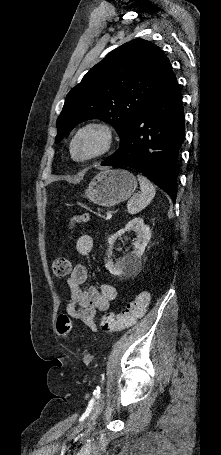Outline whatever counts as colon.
<instances>
[{"label": "colon", "mask_w": 221, "mask_h": 455, "mask_svg": "<svg viewBox=\"0 0 221 455\" xmlns=\"http://www.w3.org/2000/svg\"><path fill=\"white\" fill-rule=\"evenodd\" d=\"M87 217L80 215L73 217L69 223V227H74L77 223L85 222ZM72 270V263L66 257H55L52 261V271L57 277H65L70 274ZM150 302V295L148 292L139 293L133 300H131L125 309L119 313H107L101 318V326L106 332H117L132 327L136 321L143 317L146 313L147 307ZM57 333L58 335L69 340L72 337V321L67 315H60L57 319Z\"/></svg>", "instance_id": "obj_1"}]
</instances>
